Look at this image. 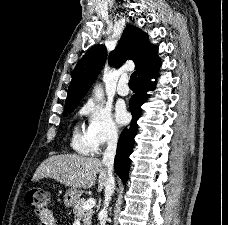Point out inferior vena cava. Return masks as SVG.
<instances>
[{"label":"inferior vena cava","instance_id":"inferior-vena-cava-1","mask_svg":"<svg viewBox=\"0 0 228 225\" xmlns=\"http://www.w3.org/2000/svg\"><path fill=\"white\" fill-rule=\"evenodd\" d=\"M117 133L116 131H110L109 135V141H108V147L105 149L103 153V161L102 165L106 167L107 169V179L105 183V201H104V209L98 213V221H100V225H105L107 221V209L109 205V201L114 193V187H115V179L113 175V169H114V159L116 155V147H117Z\"/></svg>","mask_w":228,"mask_h":225}]
</instances>
